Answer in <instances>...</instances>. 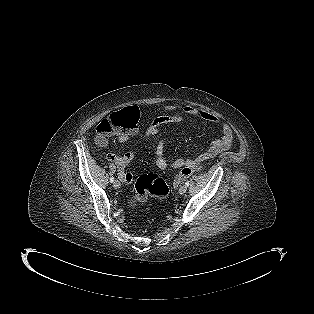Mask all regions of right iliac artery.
I'll list each match as a JSON object with an SVG mask.
<instances>
[{"mask_svg":"<svg viewBox=\"0 0 314 314\" xmlns=\"http://www.w3.org/2000/svg\"><path fill=\"white\" fill-rule=\"evenodd\" d=\"M110 182L113 183L114 182V177L110 178Z\"/></svg>","mask_w":314,"mask_h":314,"instance_id":"right-iliac-artery-1","label":"right iliac artery"}]
</instances>
